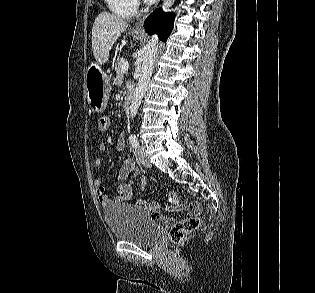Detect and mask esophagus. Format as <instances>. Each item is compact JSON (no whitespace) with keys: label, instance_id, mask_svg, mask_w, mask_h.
Instances as JSON below:
<instances>
[{"label":"esophagus","instance_id":"1","mask_svg":"<svg viewBox=\"0 0 315 293\" xmlns=\"http://www.w3.org/2000/svg\"><path fill=\"white\" fill-rule=\"evenodd\" d=\"M158 1L159 0H157V4H158ZM146 18H147V15L145 17H143L142 19H140V21L133 28L134 32L144 33L143 24H144V21H145Z\"/></svg>","mask_w":315,"mask_h":293}]
</instances>
